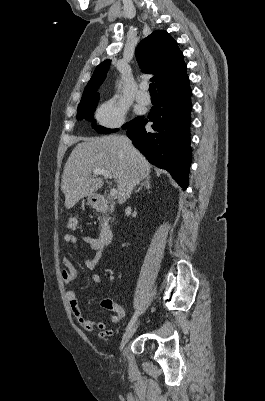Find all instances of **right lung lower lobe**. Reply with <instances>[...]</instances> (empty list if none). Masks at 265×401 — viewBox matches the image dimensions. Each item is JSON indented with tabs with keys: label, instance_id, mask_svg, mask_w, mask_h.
<instances>
[{
	"label": "right lung lower lobe",
	"instance_id": "right-lung-lower-lobe-1",
	"mask_svg": "<svg viewBox=\"0 0 265 401\" xmlns=\"http://www.w3.org/2000/svg\"><path fill=\"white\" fill-rule=\"evenodd\" d=\"M188 81L172 90L159 92L157 104L147 119L141 121L143 117H140L127 131V136L147 160L167 170L183 190L188 186L191 162V89ZM148 121L153 122V130H145Z\"/></svg>",
	"mask_w": 265,
	"mask_h": 401
}]
</instances>
